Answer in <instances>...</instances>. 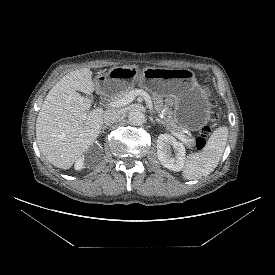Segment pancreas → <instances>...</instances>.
Returning <instances> with one entry per match:
<instances>
[{
  "label": "pancreas",
  "mask_w": 275,
  "mask_h": 275,
  "mask_svg": "<svg viewBox=\"0 0 275 275\" xmlns=\"http://www.w3.org/2000/svg\"><path fill=\"white\" fill-rule=\"evenodd\" d=\"M132 90V88H126V89H123L117 93H115L113 96H112V99L115 101V100H118V99H121L122 97H124L128 92H130ZM157 107V110L160 111L161 110V107L159 105H156ZM164 109L166 110L165 113H164V117L161 119V123L163 126H165L167 129H170L172 131H175L179 134H183V131H184V128L179 126L177 124V122L175 121V119L173 118L171 112H169L168 110V107L164 106ZM187 139V142H186V145L188 147H191L193 144H194V140L192 137H185Z\"/></svg>",
  "instance_id": "obj_1"
}]
</instances>
